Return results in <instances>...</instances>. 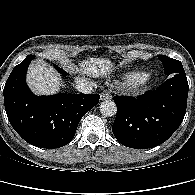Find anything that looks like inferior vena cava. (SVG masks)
<instances>
[{"instance_id": "1", "label": "inferior vena cava", "mask_w": 195, "mask_h": 195, "mask_svg": "<svg viewBox=\"0 0 195 195\" xmlns=\"http://www.w3.org/2000/svg\"><path fill=\"white\" fill-rule=\"evenodd\" d=\"M75 88L81 93H91L97 88V85L92 81L83 80L77 83Z\"/></svg>"}]
</instances>
